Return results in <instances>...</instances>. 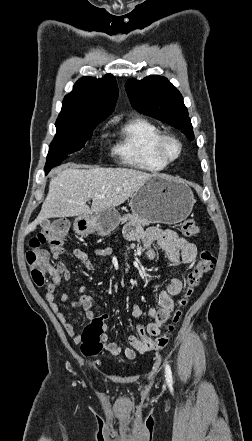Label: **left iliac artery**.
I'll use <instances>...</instances> for the list:
<instances>
[{"label":"left iliac artery","mask_w":252,"mask_h":441,"mask_svg":"<svg viewBox=\"0 0 252 441\" xmlns=\"http://www.w3.org/2000/svg\"><path fill=\"white\" fill-rule=\"evenodd\" d=\"M165 373H166V381L168 384H172L173 379H172V372H171V368L169 366V364H166L165 366Z\"/></svg>","instance_id":"44dca946"}]
</instances>
